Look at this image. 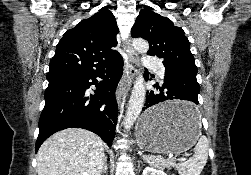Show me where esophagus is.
Returning a JSON list of instances; mask_svg holds the SVG:
<instances>
[{
	"instance_id": "esophagus-1",
	"label": "esophagus",
	"mask_w": 251,
	"mask_h": 175,
	"mask_svg": "<svg viewBox=\"0 0 251 175\" xmlns=\"http://www.w3.org/2000/svg\"><path fill=\"white\" fill-rule=\"evenodd\" d=\"M126 52L128 56L127 75L122 77L116 90L118 106H121L123 94L130 87L136 74V65L139 63V55L131 47L130 41L126 43Z\"/></svg>"
}]
</instances>
